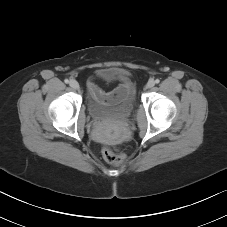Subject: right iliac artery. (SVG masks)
I'll return each instance as SVG.
<instances>
[{
	"label": "right iliac artery",
	"mask_w": 227,
	"mask_h": 227,
	"mask_svg": "<svg viewBox=\"0 0 227 227\" xmlns=\"http://www.w3.org/2000/svg\"><path fill=\"white\" fill-rule=\"evenodd\" d=\"M64 82H65L66 84H68V83H69V80H68V79H65Z\"/></svg>",
	"instance_id": "obj_1"
}]
</instances>
